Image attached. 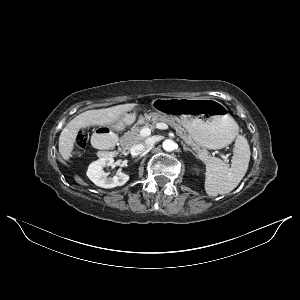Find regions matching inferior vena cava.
<instances>
[{"mask_svg": "<svg viewBox=\"0 0 300 300\" xmlns=\"http://www.w3.org/2000/svg\"><path fill=\"white\" fill-rule=\"evenodd\" d=\"M149 147V144L147 143H140L136 144L131 148V155L132 156H139L143 154Z\"/></svg>", "mask_w": 300, "mask_h": 300, "instance_id": "602c4592", "label": "inferior vena cava"}]
</instances>
